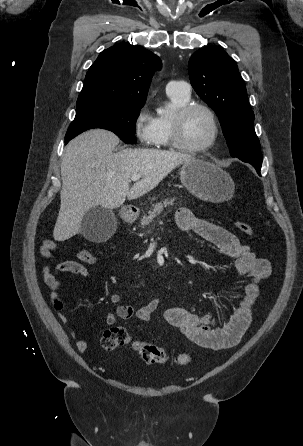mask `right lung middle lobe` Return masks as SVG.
Instances as JSON below:
<instances>
[{
  "mask_svg": "<svg viewBox=\"0 0 303 446\" xmlns=\"http://www.w3.org/2000/svg\"><path fill=\"white\" fill-rule=\"evenodd\" d=\"M143 106L118 103H94L77 106L74 121L65 135V143L93 128L114 132L125 143H135V123Z\"/></svg>",
  "mask_w": 303,
  "mask_h": 446,
  "instance_id": "dd1d6c3e",
  "label": "right lung middle lobe"
}]
</instances>
